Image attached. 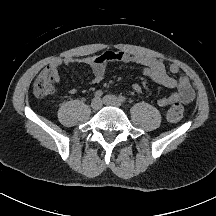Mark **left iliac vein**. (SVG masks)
<instances>
[{"mask_svg":"<svg viewBox=\"0 0 216 216\" xmlns=\"http://www.w3.org/2000/svg\"><path fill=\"white\" fill-rule=\"evenodd\" d=\"M103 102L106 105H110V106H115V107H120L121 103L119 101V99L114 96V95H106L103 97Z\"/></svg>","mask_w":216,"mask_h":216,"instance_id":"1","label":"left iliac vein"}]
</instances>
